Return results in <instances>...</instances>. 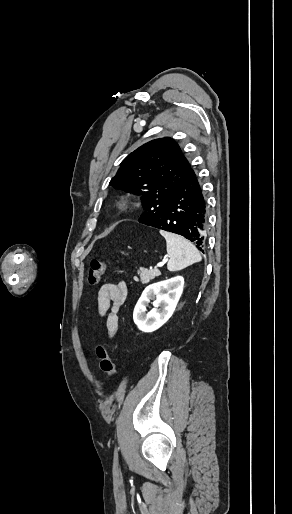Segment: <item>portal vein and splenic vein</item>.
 <instances>
[{
    "label": "portal vein and splenic vein",
    "mask_w": 292,
    "mask_h": 514,
    "mask_svg": "<svg viewBox=\"0 0 292 514\" xmlns=\"http://www.w3.org/2000/svg\"><path fill=\"white\" fill-rule=\"evenodd\" d=\"M166 260H164V262H160V264H157L158 268H162V266H164Z\"/></svg>",
    "instance_id": "portal-vein-and-splenic-vein-1"
}]
</instances>
